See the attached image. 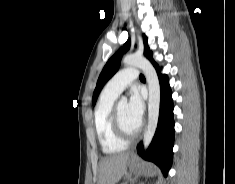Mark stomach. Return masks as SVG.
I'll return each mask as SVG.
<instances>
[{
	"instance_id": "1",
	"label": "stomach",
	"mask_w": 235,
	"mask_h": 184,
	"mask_svg": "<svg viewBox=\"0 0 235 184\" xmlns=\"http://www.w3.org/2000/svg\"><path fill=\"white\" fill-rule=\"evenodd\" d=\"M137 160H138V158H137V156H135V154H132V156H130L128 166H129V170H131V172H134V170H137V166H138ZM153 172H154V168H148L149 176H152Z\"/></svg>"
}]
</instances>
